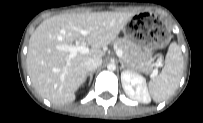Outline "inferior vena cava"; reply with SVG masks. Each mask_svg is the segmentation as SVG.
<instances>
[{"instance_id":"1","label":"inferior vena cava","mask_w":203,"mask_h":123,"mask_svg":"<svg viewBox=\"0 0 203 123\" xmlns=\"http://www.w3.org/2000/svg\"><path fill=\"white\" fill-rule=\"evenodd\" d=\"M102 64V59L99 57L89 58L84 61V68L86 71L91 72L96 70Z\"/></svg>"}]
</instances>
